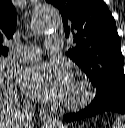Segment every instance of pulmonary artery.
<instances>
[{
  "label": "pulmonary artery",
  "instance_id": "e3ab8cb5",
  "mask_svg": "<svg viewBox=\"0 0 125 128\" xmlns=\"http://www.w3.org/2000/svg\"><path fill=\"white\" fill-rule=\"evenodd\" d=\"M45 46L50 52H57L62 46V37L60 35H50L46 39ZM42 50L37 46H23L14 53L16 62H32L41 57Z\"/></svg>",
  "mask_w": 125,
  "mask_h": 128
}]
</instances>
